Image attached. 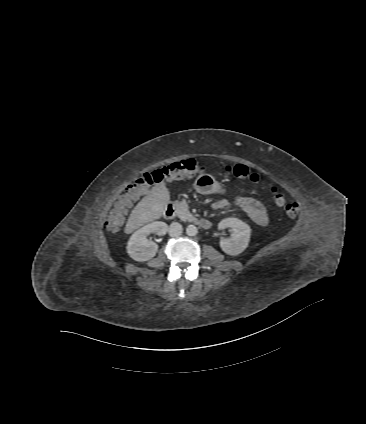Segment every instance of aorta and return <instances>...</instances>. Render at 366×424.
Instances as JSON below:
<instances>
[{"label": "aorta", "mask_w": 366, "mask_h": 424, "mask_svg": "<svg viewBox=\"0 0 366 424\" xmlns=\"http://www.w3.org/2000/svg\"><path fill=\"white\" fill-rule=\"evenodd\" d=\"M198 233V229L195 225H188L186 228V234L188 236H195Z\"/></svg>", "instance_id": "1"}]
</instances>
